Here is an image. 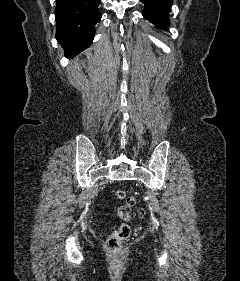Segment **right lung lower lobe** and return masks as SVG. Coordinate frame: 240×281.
Masks as SVG:
<instances>
[{
    "label": "right lung lower lobe",
    "instance_id": "right-lung-lower-lobe-1",
    "mask_svg": "<svg viewBox=\"0 0 240 281\" xmlns=\"http://www.w3.org/2000/svg\"><path fill=\"white\" fill-rule=\"evenodd\" d=\"M58 43L68 57L80 53L92 44L95 25L101 19L100 0H56Z\"/></svg>",
    "mask_w": 240,
    "mask_h": 281
}]
</instances>
